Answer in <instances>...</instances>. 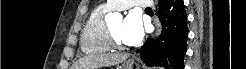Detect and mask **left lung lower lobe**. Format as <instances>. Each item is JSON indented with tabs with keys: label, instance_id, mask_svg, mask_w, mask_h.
Listing matches in <instances>:
<instances>
[{
	"label": "left lung lower lobe",
	"instance_id": "0a47b994",
	"mask_svg": "<svg viewBox=\"0 0 246 69\" xmlns=\"http://www.w3.org/2000/svg\"><path fill=\"white\" fill-rule=\"evenodd\" d=\"M159 14L163 27L159 38L148 39L137 52L148 66L184 69L188 28L183 0H160Z\"/></svg>",
	"mask_w": 246,
	"mask_h": 69
}]
</instances>
